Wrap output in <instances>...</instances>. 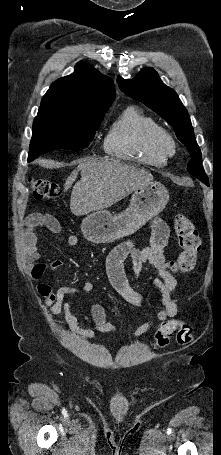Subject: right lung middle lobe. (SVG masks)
<instances>
[{"instance_id": "right-lung-middle-lobe-1", "label": "right lung middle lobe", "mask_w": 221, "mask_h": 455, "mask_svg": "<svg viewBox=\"0 0 221 455\" xmlns=\"http://www.w3.org/2000/svg\"><path fill=\"white\" fill-rule=\"evenodd\" d=\"M106 111L88 116H65L38 111L33 122L28 161L55 149L81 151L93 140Z\"/></svg>"}]
</instances>
